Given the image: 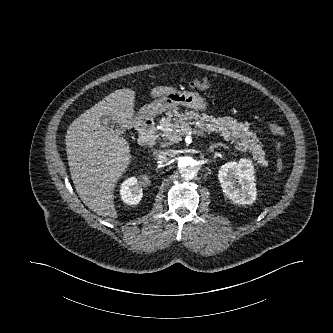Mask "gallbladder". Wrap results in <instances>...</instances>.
<instances>
[{
	"mask_svg": "<svg viewBox=\"0 0 333 333\" xmlns=\"http://www.w3.org/2000/svg\"><path fill=\"white\" fill-rule=\"evenodd\" d=\"M103 121L107 127H109L111 130H113L116 134L122 135L124 133L123 127L119 125L117 122L113 121L109 118H103Z\"/></svg>",
	"mask_w": 333,
	"mask_h": 333,
	"instance_id": "1",
	"label": "gallbladder"
}]
</instances>
